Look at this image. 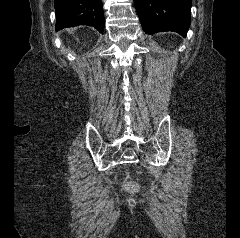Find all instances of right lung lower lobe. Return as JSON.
Here are the masks:
<instances>
[{
    "label": "right lung lower lobe",
    "instance_id": "right-lung-lower-lobe-1",
    "mask_svg": "<svg viewBox=\"0 0 240 238\" xmlns=\"http://www.w3.org/2000/svg\"><path fill=\"white\" fill-rule=\"evenodd\" d=\"M56 30L78 25H90L104 31L101 0H55Z\"/></svg>",
    "mask_w": 240,
    "mask_h": 238
}]
</instances>
